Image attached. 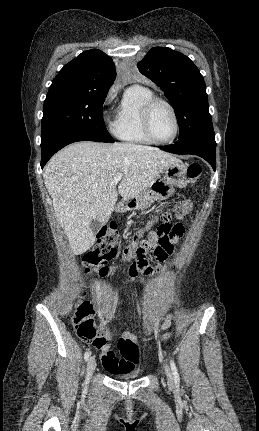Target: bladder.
I'll list each match as a JSON object with an SVG mask.
<instances>
[{"label":"bladder","mask_w":259,"mask_h":431,"mask_svg":"<svg viewBox=\"0 0 259 431\" xmlns=\"http://www.w3.org/2000/svg\"><path fill=\"white\" fill-rule=\"evenodd\" d=\"M111 374L115 379L122 380V381L134 380L141 377V372L139 371H125V372H116Z\"/></svg>","instance_id":"bladder-1"}]
</instances>
